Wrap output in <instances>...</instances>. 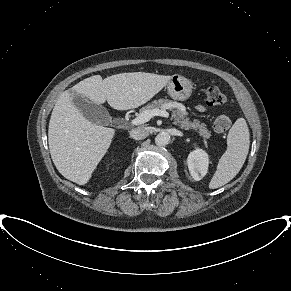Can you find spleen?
Listing matches in <instances>:
<instances>
[{
  "label": "spleen",
  "instance_id": "1",
  "mask_svg": "<svg viewBox=\"0 0 291 291\" xmlns=\"http://www.w3.org/2000/svg\"><path fill=\"white\" fill-rule=\"evenodd\" d=\"M250 134L244 118H239L227 136V150L217 165L209 188L216 189L231 181L241 170L249 151Z\"/></svg>",
  "mask_w": 291,
  "mask_h": 291
}]
</instances>
